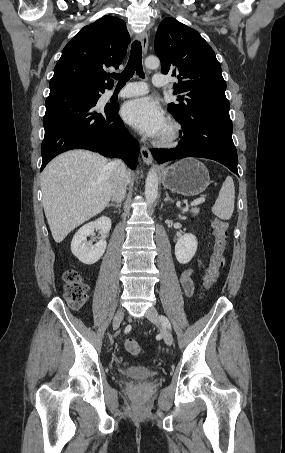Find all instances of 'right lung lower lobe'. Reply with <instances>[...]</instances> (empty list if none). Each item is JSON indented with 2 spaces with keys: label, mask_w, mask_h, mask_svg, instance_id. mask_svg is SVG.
I'll use <instances>...</instances> for the list:
<instances>
[{
  "label": "right lung lower lobe",
  "mask_w": 285,
  "mask_h": 453,
  "mask_svg": "<svg viewBox=\"0 0 285 453\" xmlns=\"http://www.w3.org/2000/svg\"><path fill=\"white\" fill-rule=\"evenodd\" d=\"M87 92L74 87L50 90L43 118L41 171L55 156L71 149L119 157L135 169L139 145L118 116V105L98 110L94 108L97 102L89 98Z\"/></svg>",
  "instance_id": "98d812e1"
}]
</instances>
